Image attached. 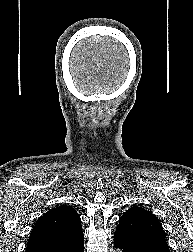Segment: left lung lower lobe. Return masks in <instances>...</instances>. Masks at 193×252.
<instances>
[{"label": "left lung lower lobe", "mask_w": 193, "mask_h": 252, "mask_svg": "<svg viewBox=\"0 0 193 252\" xmlns=\"http://www.w3.org/2000/svg\"><path fill=\"white\" fill-rule=\"evenodd\" d=\"M114 246L123 252H170L166 239L157 236L130 237L115 231Z\"/></svg>", "instance_id": "1"}]
</instances>
